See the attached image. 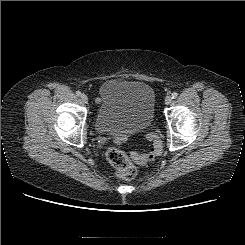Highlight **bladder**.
I'll list each match as a JSON object with an SVG mask.
<instances>
[{
  "label": "bladder",
  "instance_id": "obj_1",
  "mask_svg": "<svg viewBox=\"0 0 245 245\" xmlns=\"http://www.w3.org/2000/svg\"><path fill=\"white\" fill-rule=\"evenodd\" d=\"M100 104L94 118L97 131L134 133L155 120V93L144 82L110 79L100 88Z\"/></svg>",
  "mask_w": 245,
  "mask_h": 245
}]
</instances>
